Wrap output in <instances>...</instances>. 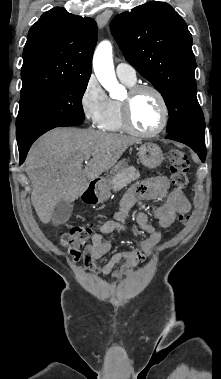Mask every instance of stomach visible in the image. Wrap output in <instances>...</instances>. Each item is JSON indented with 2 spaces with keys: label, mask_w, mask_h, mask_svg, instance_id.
Masks as SVG:
<instances>
[{
  "label": "stomach",
  "mask_w": 221,
  "mask_h": 379,
  "mask_svg": "<svg viewBox=\"0 0 221 379\" xmlns=\"http://www.w3.org/2000/svg\"><path fill=\"white\" fill-rule=\"evenodd\" d=\"M140 162L148 168L158 167L164 157L160 147L152 142L141 144L138 149ZM126 160H121L112 170L111 174L116 175L125 169ZM96 194L99 200H104L110 196V180L108 178L101 179L97 185Z\"/></svg>",
  "instance_id": "obj_1"
}]
</instances>
